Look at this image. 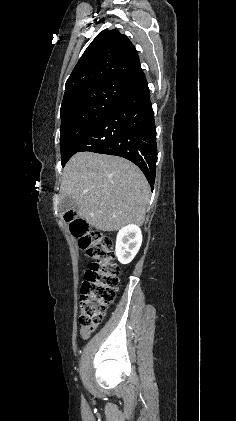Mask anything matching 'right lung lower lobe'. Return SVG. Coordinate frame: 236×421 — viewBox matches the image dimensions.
<instances>
[{"label":"right lung lower lobe","mask_w":236,"mask_h":421,"mask_svg":"<svg viewBox=\"0 0 236 421\" xmlns=\"http://www.w3.org/2000/svg\"><path fill=\"white\" fill-rule=\"evenodd\" d=\"M120 86L126 96L79 140L74 154L91 151L124 157L142 170L153 188L156 128L145 74L140 70L126 77Z\"/></svg>","instance_id":"right-lung-lower-lobe-1"}]
</instances>
